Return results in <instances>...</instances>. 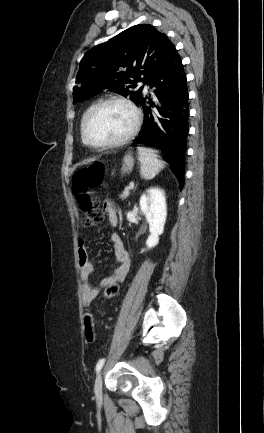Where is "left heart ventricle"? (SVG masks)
Listing matches in <instances>:
<instances>
[{
	"mask_svg": "<svg viewBox=\"0 0 264 433\" xmlns=\"http://www.w3.org/2000/svg\"><path fill=\"white\" fill-rule=\"evenodd\" d=\"M133 115L117 103L106 104L97 109L87 123V135L94 143H103L122 137L131 128Z\"/></svg>",
	"mask_w": 264,
	"mask_h": 433,
	"instance_id": "obj_1",
	"label": "left heart ventricle"
}]
</instances>
